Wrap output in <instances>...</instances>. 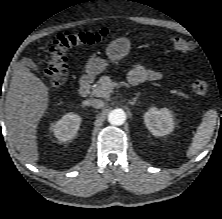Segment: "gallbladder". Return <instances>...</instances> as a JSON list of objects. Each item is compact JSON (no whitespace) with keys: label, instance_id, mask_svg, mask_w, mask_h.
<instances>
[{"label":"gallbladder","instance_id":"gallbladder-1","mask_svg":"<svg viewBox=\"0 0 222 219\" xmlns=\"http://www.w3.org/2000/svg\"><path fill=\"white\" fill-rule=\"evenodd\" d=\"M25 62H26V64H27V66L31 69V70H33V71H35V72H37V73H39L40 72V70H39V67L37 66V64L35 63V62H33L31 59H26L25 60Z\"/></svg>","mask_w":222,"mask_h":219}]
</instances>
